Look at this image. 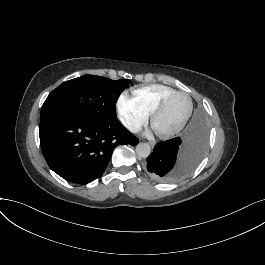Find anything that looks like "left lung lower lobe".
<instances>
[{
	"instance_id": "obj_1",
	"label": "left lung lower lobe",
	"mask_w": 265,
	"mask_h": 265,
	"mask_svg": "<svg viewBox=\"0 0 265 265\" xmlns=\"http://www.w3.org/2000/svg\"><path fill=\"white\" fill-rule=\"evenodd\" d=\"M208 140V126L197 110L181 137L155 145L146 159L148 175L158 182H172L188 175L203 158Z\"/></svg>"
}]
</instances>
